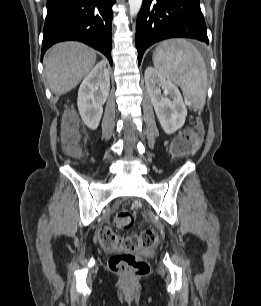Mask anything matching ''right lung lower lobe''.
<instances>
[{"mask_svg": "<svg viewBox=\"0 0 261 306\" xmlns=\"http://www.w3.org/2000/svg\"><path fill=\"white\" fill-rule=\"evenodd\" d=\"M116 0H47L42 56L53 44L77 40L102 52L112 64V6Z\"/></svg>", "mask_w": 261, "mask_h": 306, "instance_id": "1", "label": "right lung lower lobe"}]
</instances>
